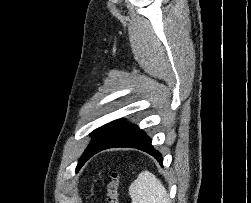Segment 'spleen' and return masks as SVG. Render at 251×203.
<instances>
[{
  "mask_svg": "<svg viewBox=\"0 0 251 203\" xmlns=\"http://www.w3.org/2000/svg\"><path fill=\"white\" fill-rule=\"evenodd\" d=\"M132 203H170L161 181L151 172H141L129 187Z\"/></svg>",
  "mask_w": 251,
  "mask_h": 203,
  "instance_id": "spleen-1",
  "label": "spleen"
}]
</instances>
